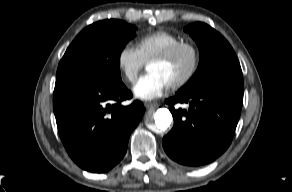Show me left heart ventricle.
<instances>
[{
  "label": "left heart ventricle",
  "mask_w": 292,
  "mask_h": 192,
  "mask_svg": "<svg viewBox=\"0 0 292 192\" xmlns=\"http://www.w3.org/2000/svg\"><path fill=\"white\" fill-rule=\"evenodd\" d=\"M192 60L191 52L183 50L169 61L150 63L147 69L159 74L170 85L188 72L192 65Z\"/></svg>",
  "instance_id": "left-heart-ventricle-1"
}]
</instances>
